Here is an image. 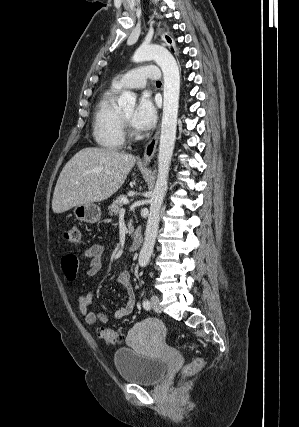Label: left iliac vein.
Masks as SVG:
<instances>
[{"mask_svg": "<svg viewBox=\"0 0 299 427\" xmlns=\"http://www.w3.org/2000/svg\"><path fill=\"white\" fill-rule=\"evenodd\" d=\"M151 306L153 310L157 313H161V305H160V299L156 295H152L151 297Z\"/></svg>", "mask_w": 299, "mask_h": 427, "instance_id": "left-iliac-vein-1", "label": "left iliac vein"}]
</instances>
